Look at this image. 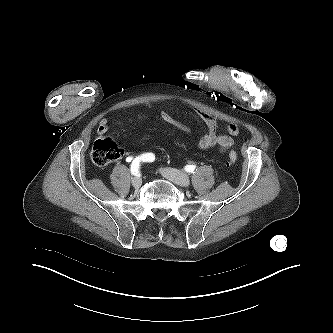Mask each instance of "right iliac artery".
<instances>
[{
  "label": "right iliac artery",
  "mask_w": 333,
  "mask_h": 333,
  "mask_svg": "<svg viewBox=\"0 0 333 333\" xmlns=\"http://www.w3.org/2000/svg\"><path fill=\"white\" fill-rule=\"evenodd\" d=\"M155 160V155L153 153H144L136 157L130 167L132 175H137L140 168L141 162H153ZM130 162V161H129Z\"/></svg>",
  "instance_id": "1"
}]
</instances>
